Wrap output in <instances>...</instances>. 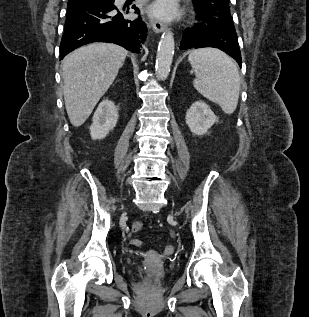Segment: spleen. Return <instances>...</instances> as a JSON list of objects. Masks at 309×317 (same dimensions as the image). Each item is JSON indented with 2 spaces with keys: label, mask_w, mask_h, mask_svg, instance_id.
<instances>
[{
  "label": "spleen",
  "mask_w": 309,
  "mask_h": 317,
  "mask_svg": "<svg viewBox=\"0 0 309 317\" xmlns=\"http://www.w3.org/2000/svg\"><path fill=\"white\" fill-rule=\"evenodd\" d=\"M188 61L195 73V89L217 103L226 114H232L236 110L240 91L236 63L214 48L195 49L189 54Z\"/></svg>",
  "instance_id": "spleen-1"
}]
</instances>
